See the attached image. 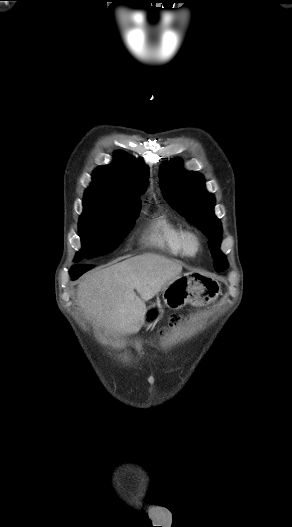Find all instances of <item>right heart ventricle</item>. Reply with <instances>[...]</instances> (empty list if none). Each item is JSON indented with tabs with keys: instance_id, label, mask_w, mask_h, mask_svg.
I'll list each match as a JSON object with an SVG mask.
<instances>
[{
	"instance_id": "1",
	"label": "right heart ventricle",
	"mask_w": 292,
	"mask_h": 527,
	"mask_svg": "<svg viewBox=\"0 0 292 527\" xmlns=\"http://www.w3.org/2000/svg\"><path fill=\"white\" fill-rule=\"evenodd\" d=\"M185 229L165 213H154L142 233V243L169 256H186L181 239Z\"/></svg>"
}]
</instances>
